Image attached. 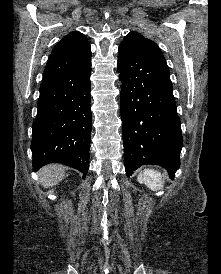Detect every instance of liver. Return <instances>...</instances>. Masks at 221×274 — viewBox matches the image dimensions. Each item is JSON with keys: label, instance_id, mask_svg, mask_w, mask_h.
Segmentation results:
<instances>
[{"label": "liver", "instance_id": "6515ba94", "mask_svg": "<svg viewBox=\"0 0 221 274\" xmlns=\"http://www.w3.org/2000/svg\"><path fill=\"white\" fill-rule=\"evenodd\" d=\"M64 176L65 168L57 164L44 166L39 171L40 182L45 188L57 185Z\"/></svg>", "mask_w": 221, "mask_h": 274}]
</instances>
